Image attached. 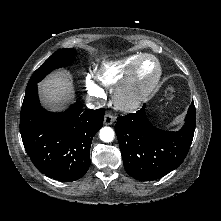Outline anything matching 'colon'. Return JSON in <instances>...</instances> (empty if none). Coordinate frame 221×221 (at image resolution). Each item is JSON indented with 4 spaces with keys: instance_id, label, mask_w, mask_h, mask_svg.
<instances>
[{
    "instance_id": "1",
    "label": "colon",
    "mask_w": 221,
    "mask_h": 221,
    "mask_svg": "<svg viewBox=\"0 0 221 221\" xmlns=\"http://www.w3.org/2000/svg\"><path fill=\"white\" fill-rule=\"evenodd\" d=\"M173 97H174V90H173V88H171V87L167 88V90H166V98L168 100H171V99H173Z\"/></svg>"
}]
</instances>
